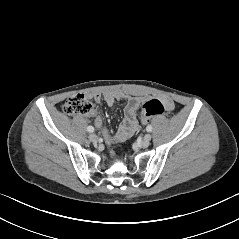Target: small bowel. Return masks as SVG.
Returning <instances> with one entry per match:
<instances>
[{
	"label": "small bowel",
	"mask_w": 239,
	"mask_h": 239,
	"mask_svg": "<svg viewBox=\"0 0 239 239\" xmlns=\"http://www.w3.org/2000/svg\"><path fill=\"white\" fill-rule=\"evenodd\" d=\"M89 98L96 102H100L103 99L108 106H113L116 101H123L125 103L124 119L115 133H111L106 128H103L101 117L97 116L94 120L95 127L102 131V135L107 143L125 141L137 131L138 121L136 112L139 105L143 102V98L130 96L120 91H110L103 95L95 93L89 95ZM163 103L167 110L174 109V103L171 99L164 98Z\"/></svg>",
	"instance_id": "1"
}]
</instances>
